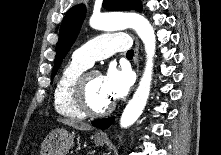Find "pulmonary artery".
Masks as SVG:
<instances>
[{"label":"pulmonary artery","mask_w":221,"mask_h":155,"mask_svg":"<svg viewBox=\"0 0 221 155\" xmlns=\"http://www.w3.org/2000/svg\"><path fill=\"white\" fill-rule=\"evenodd\" d=\"M130 39L126 34L113 33L99 35L73 53V59L90 67L96 60L104 59L116 52L129 50Z\"/></svg>","instance_id":"obj_1"}]
</instances>
